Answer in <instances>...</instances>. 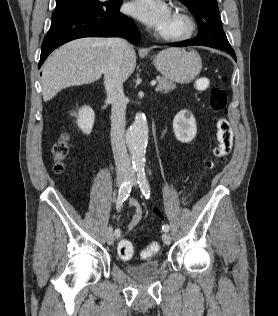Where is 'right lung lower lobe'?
<instances>
[{
	"label": "right lung lower lobe",
	"mask_w": 278,
	"mask_h": 316,
	"mask_svg": "<svg viewBox=\"0 0 278 316\" xmlns=\"http://www.w3.org/2000/svg\"><path fill=\"white\" fill-rule=\"evenodd\" d=\"M122 0L92 2L55 10L52 25L44 38L39 68L47 56L60 45L82 37H125L140 42L132 21L119 12Z\"/></svg>",
	"instance_id": "98d812e1"
}]
</instances>
